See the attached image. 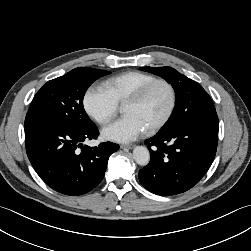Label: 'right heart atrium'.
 <instances>
[{
    "label": "right heart atrium",
    "mask_w": 251,
    "mask_h": 251,
    "mask_svg": "<svg viewBox=\"0 0 251 251\" xmlns=\"http://www.w3.org/2000/svg\"><path fill=\"white\" fill-rule=\"evenodd\" d=\"M83 107L95 122L104 125L112 120L119 110L118 103L108 90L101 85L89 86L83 96Z\"/></svg>",
    "instance_id": "obj_1"
}]
</instances>
